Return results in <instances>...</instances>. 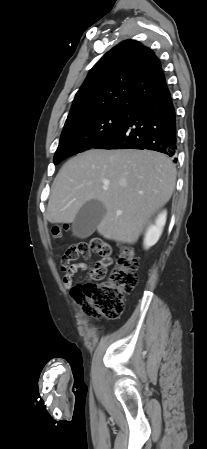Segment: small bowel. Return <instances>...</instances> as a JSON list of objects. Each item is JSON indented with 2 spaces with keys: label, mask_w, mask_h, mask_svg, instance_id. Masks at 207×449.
<instances>
[{
  "label": "small bowel",
  "mask_w": 207,
  "mask_h": 449,
  "mask_svg": "<svg viewBox=\"0 0 207 449\" xmlns=\"http://www.w3.org/2000/svg\"><path fill=\"white\" fill-rule=\"evenodd\" d=\"M86 269L87 264L83 262L62 266V271L64 272L62 279L63 286L69 288L73 284V276L79 271H85Z\"/></svg>",
  "instance_id": "small-bowel-1"
}]
</instances>
